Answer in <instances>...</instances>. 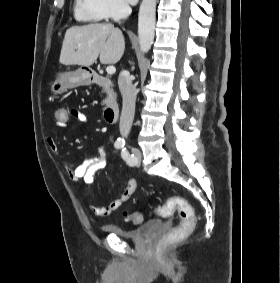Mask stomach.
<instances>
[{"instance_id": "0dacf381", "label": "stomach", "mask_w": 280, "mask_h": 283, "mask_svg": "<svg viewBox=\"0 0 280 283\" xmlns=\"http://www.w3.org/2000/svg\"><path fill=\"white\" fill-rule=\"evenodd\" d=\"M91 83V74L85 68H79L76 71L61 72L51 85V92L54 95L61 94L67 89L89 85Z\"/></svg>"}]
</instances>
